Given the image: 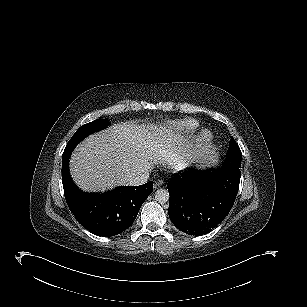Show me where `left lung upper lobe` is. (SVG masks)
<instances>
[{
    "mask_svg": "<svg viewBox=\"0 0 307 307\" xmlns=\"http://www.w3.org/2000/svg\"><path fill=\"white\" fill-rule=\"evenodd\" d=\"M222 165L235 169H240L241 167V150L233 138L230 140L229 149Z\"/></svg>",
    "mask_w": 307,
    "mask_h": 307,
    "instance_id": "left-lung-upper-lobe-1",
    "label": "left lung upper lobe"
}]
</instances>
